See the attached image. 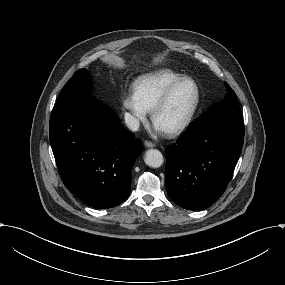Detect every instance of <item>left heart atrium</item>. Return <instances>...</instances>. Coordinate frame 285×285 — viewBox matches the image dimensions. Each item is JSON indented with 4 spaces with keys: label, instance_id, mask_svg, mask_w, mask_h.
<instances>
[{
    "label": "left heart atrium",
    "instance_id": "39dd6f15",
    "mask_svg": "<svg viewBox=\"0 0 285 285\" xmlns=\"http://www.w3.org/2000/svg\"><path fill=\"white\" fill-rule=\"evenodd\" d=\"M154 132L156 134H164L166 130L157 122L154 123Z\"/></svg>",
    "mask_w": 285,
    "mask_h": 285
}]
</instances>
